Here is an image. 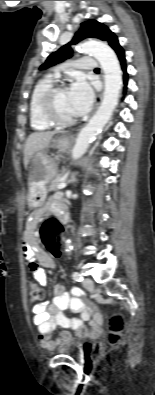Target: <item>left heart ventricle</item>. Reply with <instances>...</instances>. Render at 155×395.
I'll list each match as a JSON object with an SVG mask.
<instances>
[{"mask_svg": "<svg viewBox=\"0 0 155 395\" xmlns=\"http://www.w3.org/2000/svg\"><path fill=\"white\" fill-rule=\"evenodd\" d=\"M54 110L56 115L61 119L67 120L74 118L69 103L68 90L57 93L54 100Z\"/></svg>", "mask_w": 155, "mask_h": 395, "instance_id": "obj_1", "label": "left heart ventricle"}]
</instances>
